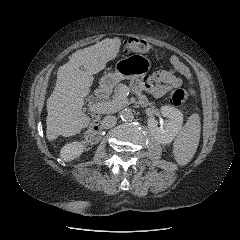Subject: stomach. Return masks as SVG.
<instances>
[{"label": "stomach", "mask_w": 240, "mask_h": 240, "mask_svg": "<svg viewBox=\"0 0 240 240\" xmlns=\"http://www.w3.org/2000/svg\"><path fill=\"white\" fill-rule=\"evenodd\" d=\"M151 68V61L141 54H133L120 59L115 65V72L105 74L101 79L103 88H112L120 80L132 79L147 73Z\"/></svg>", "instance_id": "1"}]
</instances>
